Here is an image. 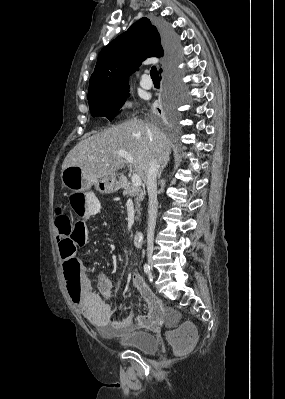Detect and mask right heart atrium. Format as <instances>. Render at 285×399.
Listing matches in <instances>:
<instances>
[{
	"mask_svg": "<svg viewBox=\"0 0 285 399\" xmlns=\"http://www.w3.org/2000/svg\"><path fill=\"white\" fill-rule=\"evenodd\" d=\"M120 109L123 111H130L132 109V101L130 98H122L119 103Z\"/></svg>",
	"mask_w": 285,
	"mask_h": 399,
	"instance_id": "1",
	"label": "right heart atrium"
}]
</instances>
